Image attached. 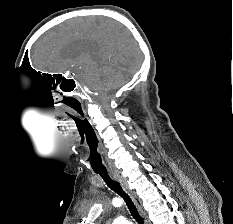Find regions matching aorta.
Returning a JSON list of instances; mask_svg holds the SVG:
<instances>
[{"mask_svg": "<svg viewBox=\"0 0 233 224\" xmlns=\"http://www.w3.org/2000/svg\"><path fill=\"white\" fill-rule=\"evenodd\" d=\"M112 224H132V223L123 217H118L117 219L114 220Z\"/></svg>", "mask_w": 233, "mask_h": 224, "instance_id": "obj_1", "label": "aorta"}]
</instances>
